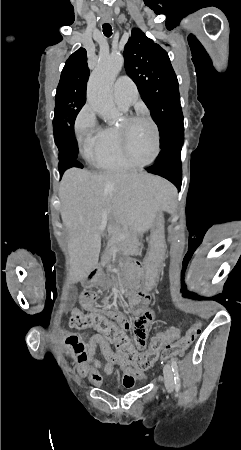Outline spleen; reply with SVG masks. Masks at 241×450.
Segmentation results:
<instances>
[{"label": "spleen", "instance_id": "1", "mask_svg": "<svg viewBox=\"0 0 241 450\" xmlns=\"http://www.w3.org/2000/svg\"><path fill=\"white\" fill-rule=\"evenodd\" d=\"M168 241L171 243L173 240L170 238Z\"/></svg>", "mask_w": 241, "mask_h": 450}]
</instances>
